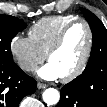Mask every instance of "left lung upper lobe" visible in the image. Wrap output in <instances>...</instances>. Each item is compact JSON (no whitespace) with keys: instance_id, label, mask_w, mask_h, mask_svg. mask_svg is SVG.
I'll return each instance as SVG.
<instances>
[{"instance_id":"obj_1","label":"left lung upper lobe","mask_w":107,"mask_h":107,"mask_svg":"<svg viewBox=\"0 0 107 107\" xmlns=\"http://www.w3.org/2000/svg\"><path fill=\"white\" fill-rule=\"evenodd\" d=\"M93 34V47L89 62L82 73L73 80L75 83H84L91 86V81L94 78L96 71L102 69L101 64L105 63L107 66V29L103 23L87 9H81Z\"/></svg>"}]
</instances>
